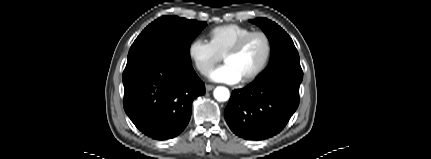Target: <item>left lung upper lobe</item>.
I'll list each match as a JSON object with an SVG mask.
<instances>
[{"mask_svg": "<svg viewBox=\"0 0 431 159\" xmlns=\"http://www.w3.org/2000/svg\"><path fill=\"white\" fill-rule=\"evenodd\" d=\"M250 22L261 27L272 46L270 63L258 78L281 70L302 72L298 51L290 36L280 26L266 18Z\"/></svg>", "mask_w": 431, "mask_h": 159, "instance_id": "1", "label": "left lung upper lobe"}]
</instances>
